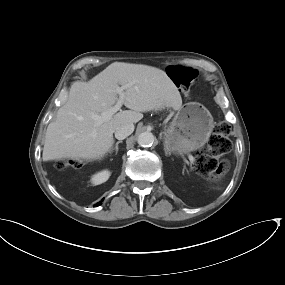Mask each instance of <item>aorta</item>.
Wrapping results in <instances>:
<instances>
[{
	"label": "aorta",
	"instance_id": "1",
	"mask_svg": "<svg viewBox=\"0 0 285 285\" xmlns=\"http://www.w3.org/2000/svg\"><path fill=\"white\" fill-rule=\"evenodd\" d=\"M137 142L141 147H151L155 142V136L151 132H143L138 138Z\"/></svg>",
	"mask_w": 285,
	"mask_h": 285
}]
</instances>
